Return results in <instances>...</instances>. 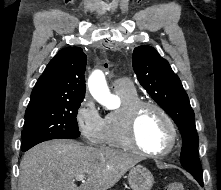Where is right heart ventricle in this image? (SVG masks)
I'll use <instances>...</instances> for the list:
<instances>
[{
    "mask_svg": "<svg viewBox=\"0 0 221 190\" xmlns=\"http://www.w3.org/2000/svg\"><path fill=\"white\" fill-rule=\"evenodd\" d=\"M114 90L121 100V106L107 114L104 118L103 144L108 148L129 150L122 137V114L127 105L140 100V98L133 86Z\"/></svg>",
    "mask_w": 221,
    "mask_h": 190,
    "instance_id": "e07e8e85",
    "label": "right heart ventricle"
}]
</instances>
